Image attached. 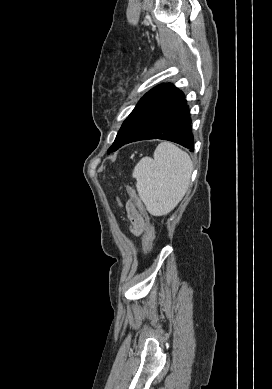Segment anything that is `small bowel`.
Segmentation results:
<instances>
[{
    "instance_id": "small-bowel-1",
    "label": "small bowel",
    "mask_w": 272,
    "mask_h": 389,
    "mask_svg": "<svg viewBox=\"0 0 272 389\" xmlns=\"http://www.w3.org/2000/svg\"><path fill=\"white\" fill-rule=\"evenodd\" d=\"M126 213L130 222V230L135 236H139L144 231L145 222L142 214L138 210L136 204L129 201L126 204Z\"/></svg>"
}]
</instances>
